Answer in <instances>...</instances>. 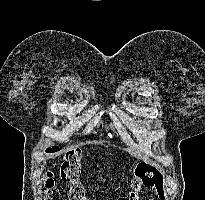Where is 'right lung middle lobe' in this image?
<instances>
[{"mask_svg":"<svg viewBox=\"0 0 205 200\" xmlns=\"http://www.w3.org/2000/svg\"><path fill=\"white\" fill-rule=\"evenodd\" d=\"M60 148L59 147H52V148H48L47 150H46V152H55V151H58Z\"/></svg>","mask_w":205,"mask_h":200,"instance_id":"obj_1","label":"right lung middle lobe"}]
</instances>
